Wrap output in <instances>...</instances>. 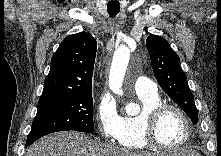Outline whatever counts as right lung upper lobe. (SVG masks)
<instances>
[{"label":"right lung upper lobe","mask_w":221,"mask_h":156,"mask_svg":"<svg viewBox=\"0 0 221 156\" xmlns=\"http://www.w3.org/2000/svg\"><path fill=\"white\" fill-rule=\"evenodd\" d=\"M97 42L89 33L67 36L51 59L41 98L92 90Z\"/></svg>","instance_id":"1"}]
</instances>
